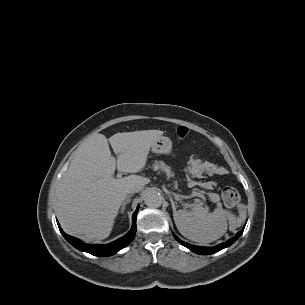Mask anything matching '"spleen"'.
<instances>
[{
	"mask_svg": "<svg viewBox=\"0 0 305 305\" xmlns=\"http://www.w3.org/2000/svg\"><path fill=\"white\" fill-rule=\"evenodd\" d=\"M190 210L174 211L178 231L187 239L207 244L219 239L227 230L226 211L218 206L212 213L200 204L189 205Z\"/></svg>",
	"mask_w": 305,
	"mask_h": 305,
	"instance_id": "3e777b00",
	"label": "spleen"
}]
</instances>
